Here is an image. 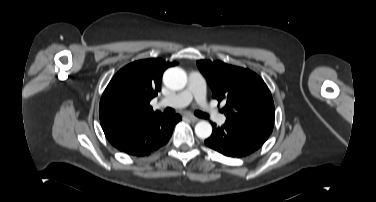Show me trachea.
I'll return each instance as SVG.
<instances>
[{"mask_svg":"<svg viewBox=\"0 0 376 202\" xmlns=\"http://www.w3.org/2000/svg\"><path fill=\"white\" fill-rule=\"evenodd\" d=\"M165 112H166V113H174L175 110L172 109V108H166V109H165ZM194 114H195L196 116L200 117V118H205V119H206V118L209 117L207 114H205V113H203V112H201V111H195Z\"/></svg>","mask_w":376,"mask_h":202,"instance_id":"1","label":"trachea"}]
</instances>
